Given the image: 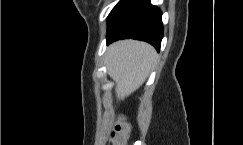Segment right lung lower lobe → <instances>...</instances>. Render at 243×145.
Returning a JSON list of instances; mask_svg holds the SVG:
<instances>
[{"label":"right lung lower lobe","instance_id":"obj_1","mask_svg":"<svg viewBox=\"0 0 243 145\" xmlns=\"http://www.w3.org/2000/svg\"><path fill=\"white\" fill-rule=\"evenodd\" d=\"M162 13L150 0H120L110 12L107 43L119 39L142 40L160 50L163 38Z\"/></svg>","mask_w":243,"mask_h":145}]
</instances>
